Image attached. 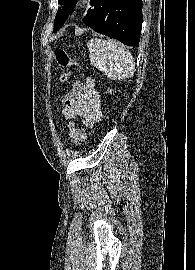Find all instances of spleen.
<instances>
[{
	"instance_id": "spleen-1",
	"label": "spleen",
	"mask_w": 195,
	"mask_h": 270,
	"mask_svg": "<svg viewBox=\"0 0 195 270\" xmlns=\"http://www.w3.org/2000/svg\"><path fill=\"white\" fill-rule=\"evenodd\" d=\"M91 65L111 80H124L135 72L132 54L115 41L93 38L88 42Z\"/></svg>"
}]
</instances>
